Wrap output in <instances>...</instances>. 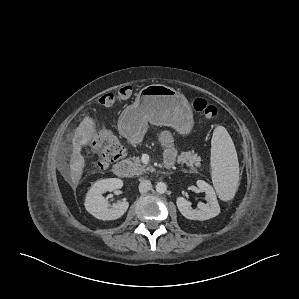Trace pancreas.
I'll return each instance as SVG.
<instances>
[{"instance_id": "1", "label": "pancreas", "mask_w": 299, "mask_h": 299, "mask_svg": "<svg viewBox=\"0 0 299 299\" xmlns=\"http://www.w3.org/2000/svg\"><path fill=\"white\" fill-rule=\"evenodd\" d=\"M128 163L132 167L133 175H142L153 170L143 164L139 157L128 159ZM178 163L186 164L191 172H196V168L201 167V157L193 152H181L178 156Z\"/></svg>"}]
</instances>
